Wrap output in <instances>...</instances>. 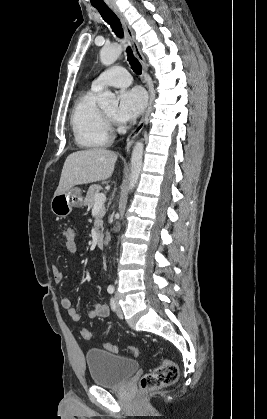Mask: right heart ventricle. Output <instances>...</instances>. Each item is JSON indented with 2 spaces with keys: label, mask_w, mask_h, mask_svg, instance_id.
Masks as SVG:
<instances>
[{
  "label": "right heart ventricle",
  "mask_w": 267,
  "mask_h": 419,
  "mask_svg": "<svg viewBox=\"0 0 267 419\" xmlns=\"http://www.w3.org/2000/svg\"><path fill=\"white\" fill-rule=\"evenodd\" d=\"M98 94L99 90L91 87L76 100L71 112L74 138L83 148H101L111 139L109 125L97 104Z\"/></svg>",
  "instance_id": "1"
}]
</instances>
